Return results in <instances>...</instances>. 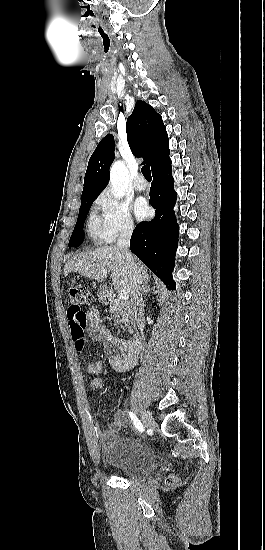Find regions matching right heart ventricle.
Listing matches in <instances>:
<instances>
[{
    "mask_svg": "<svg viewBox=\"0 0 265 550\" xmlns=\"http://www.w3.org/2000/svg\"><path fill=\"white\" fill-rule=\"evenodd\" d=\"M87 233L90 239L95 243L109 241L103 229L102 218L96 213H92L87 222Z\"/></svg>",
    "mask_w": 265,
    "mask_h": 550,
    "instance_id": "obj_1",
    "label": "right heart ventricle"
}]
</instances>
